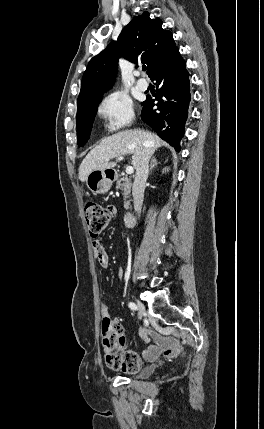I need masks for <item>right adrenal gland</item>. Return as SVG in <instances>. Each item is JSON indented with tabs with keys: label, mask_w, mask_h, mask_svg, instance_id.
Listing matches in <instances>:
<instances>
[{
	"label": "right adrenal gland",
	"mask_w": 264,
	"mask_h": 429,
	"mask_svg": "<svg viewBox=\"0 0 264 429\" xmlns=\"http://www.w3.org/2000/svg\"><path fill=\"white\" fill-rule=\"evenodd\" d=\"M157 164H158L157 159L155 157H153L151 162H150L149 170L152 171L157 166Z\"/></svg>",
	"instance_id": "obj_1"
}]
</instances>
